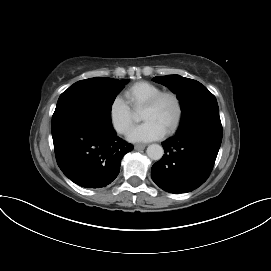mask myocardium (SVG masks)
<instances>
[{
    "label": "myocardium",
    "mask_w": 271,
    "mask_h": 271,
    "mask_svg": "<svg viewBox=\"0 0 271 271\" xmlns=\"http://www.w3.org/2000/svg\"><path fill=\"white\" fill-rule=\"evenodd\" d=\"M164 97H170L174 101V104L176 107L175 119L173 123L171 124V126L166 131V134L170 135L174 133L176 129L179 127L182 120V116H183L182 102L177 93L173 91H160L156 93L155 95H153L151 98H149L142 106V109L154 108L158 104V102Z\"/></svg>",
    "instance_id": "f54148a6"
}]
</instances>
